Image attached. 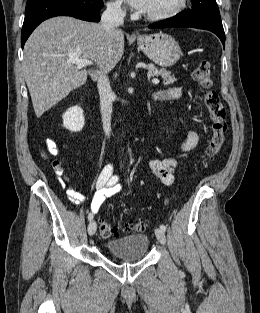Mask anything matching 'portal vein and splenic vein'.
<instances>
[{
    "mask_svg": "<svg viewBox=\"0 0 260 313\" xmlns=\"http://www.w3.org/2000/svg\"><path fill=\"white\" fill-rule=\"evenodd\" d=\"M70 61L73 62V63H75L78 68L90 66V65L93 64L91 60H88V59H80V58L77 57V56H71V57H70ZM148 75L150 76V74H148ZM152 83L158 84V83H159V80H158L157 78H154V79L152 80Z\"/></svg>",
    "mask_w": 260,
    "mask_h": 313,
    "instance_id": "portal-vein-and-splenic-vein-1",
    "label": "portal vein and splenic vein"
}]
</instances>
